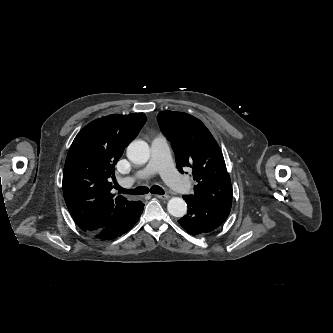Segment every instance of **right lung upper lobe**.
Returning a JSON list of instances; mask_svg holds the SVG:
<instances>
[{"label":"right lung upper lobe","instance_id":"cb5924a9","mask_svg":"<svg viewBox=\"0 0 333 333\" xmlns=\"http://www.w3.org/2000/svg\"><path fill=\"white\" fill-rule=\"evenodd\" d=\"M146 122L144 113L112 114L85 126L70 146L63 171V195L75 223L99 230L134 208L111 193V178L124 149Z\"/></svg>","mask_w":333,"mask_h":333}]
</instances>
